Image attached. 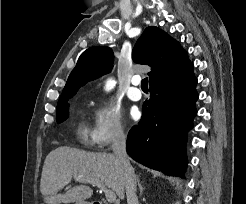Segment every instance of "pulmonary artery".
<instances>
[{
    "label": "pulmonary artery",
    "mask_w": 246,
    "mask_h": 204,
    "mask_svg": "<svg viewBox=\"0 0 246 204\" xmlns=\"http://www.w3.org/2000/svg\"><path fill=\"white\" fill-rule=\"evenodd\" d=\"M131 84V87L127 91V96L132 101H139L142 98V92L138 88V85L140 84V77H133Z\"/></svg>",
    "instance_id": "1"
}]
</instances>
